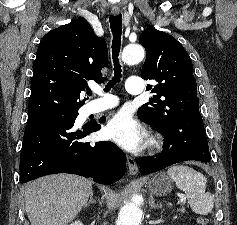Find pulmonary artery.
<instances>
[{"label": "pulmonary artery", "mask_w": 237, "mask_h": 225, "mask_svg": "<svg viewBox=\"0 0 237 225\" xmlns=\"http://www.w3.org/2000/svg\"><path fill=\"white\" fill-rule=\"evenodd\" d=\"M125 88L130 94H140L142 91V81L138 77H129ZM98 93L101 97L87 105L89 113H100L115 107L119 103V100L113 95L101 93L100 91Z\"/></svg>", "instance_id": "e3ab8cb5"}]
</instances>
